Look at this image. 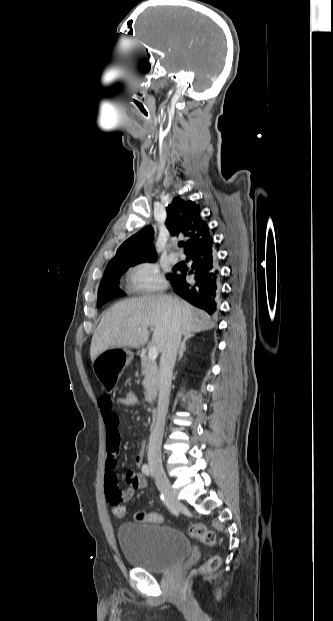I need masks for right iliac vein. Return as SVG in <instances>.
Wrapping results in <instances>:
<instances>
[{
    "mask_svg": "<svg viewBox=\"0 0 333 621\" xmlns=\"http://www.w3.org/2000/svg\"><path fill=\"white\" fill-rule=\"evenodd\" d=\"M152 473L157 482L158 487L163 491L166 498L175 506L179 505L175 490L172 488L171 483L166 476L163 468L152 465Z\"/></svg>",
    "mask_w": 333,
    "mask_h": 621,
    "instance_id": "obj_1",
    "label": "right iliac vein"
}]
</instances>
